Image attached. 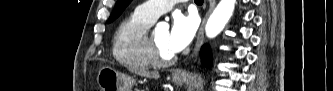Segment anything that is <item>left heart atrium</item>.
Here are the masks:
<instances>
[{
  "label": "left heart atrium",
  "instance_id": "obj_1",
  "mask_svg": "<svg viewBox=\"0 0 333 91\" xmlns=\"http://www.w3.org/2000/svg\"><path fill=\"white\" fill-rule=\"evenodd\" d=\"M198 27L194 15H176L168 33V48L173 53L184 50L193 40Z\"/></svg>",
  "mask_w": 333,
  "mask_h": 91
}]
</instances>
